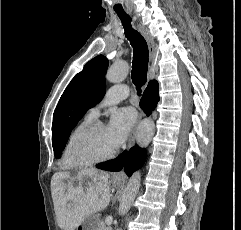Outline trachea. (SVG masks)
<instances>
[{
    "mask_svg": "<svg viewBox=\"0 0 241 230\" xmlns=\"http://www.w3.org/2000/svg\"><path fill=\"white\" fill-rule=\"evenodd\" d=\"M125 29V36L133 47L131 78L140 95L141 87L147 81L148 46L145 39L131 26V18L126 13H117Z\"/></svg>",
    "mask_w": 241,
    "mask_h": 230,
    "instance_id": "trachea-1",
    "label": "trachea"
}]
</instances>
